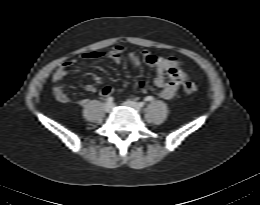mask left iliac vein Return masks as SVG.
I'll list each match as a JSON object with an SVG mask.
<instances>
[{
	"mask_svg": "<svg viewBox=\"0 0 260 205\" xmlns=\"http://www.w3.org/2000/svg\"><path fill=\"white\" fill-rule=\"evenodd\" d=\"M125 105L133 108L136 112L140 111V107H139L138 103H136L134 101L127 100V101H125Z\"/></svg>",
	"mask_w": 260,
	"mask_h": 205,
	"instance_id": "obj_1",
	"label": "left iliac vein"
}]
</instances>
